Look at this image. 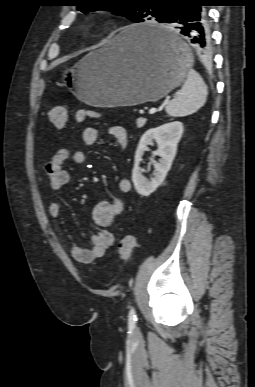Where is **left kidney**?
<instances>
[{
	"instance_id": "left-kidney-1",
	"label": "left kidney",
	"mask_w": 255,
	"mask_h": 387,
	"mask_svg": "<svg viewBox=\"0 0 255 387\" xmlns=\"http://www.w3.org/2000/svg\"><path fill=\"white\" fill-rule=\"evenodd\" d=\"M184 127L179 121L166 123L157 128L147 130L140 139L135 152V163L132 170V181L136 191L142 196H149L164 181L176 156L177 145L183 134ZM157 143L158 149L152 152L153 157L159 156V162L152 160L154 177L149 181L143 175L140 162L148 145Z\"/></svg>"
}]
</instances>
